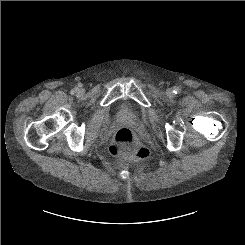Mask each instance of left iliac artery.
<instances>
[{"label": "left iliac artery", "mask_w": 245, "mask_h": 245, "mask_svg": "<svg viewBox=\"0 0 245 245\" xmlns=\"http://www.w3.org/2000/svg\"><path fill=\"white\" fill-rule=\"evenodd\" d=\"M173 92H174L175 94L179 93V88H178V87H174Z\"/></svg>", "instance_id": "obj_1"}]
</instances>
